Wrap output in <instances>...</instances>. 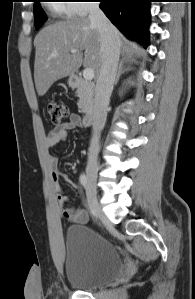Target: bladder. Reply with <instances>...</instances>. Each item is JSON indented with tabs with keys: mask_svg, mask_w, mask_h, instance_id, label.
<instances>
[{
	"mask_svg": "<svg viewBox=\"0 0 195 299\" xmlns=\"http://www.w3.org/2000/svg\"><path fill=\"white\" fill-rule=\"evenodd\" d=\"M64 247L66 279L80 290L111 282L124 268L115 246L86 226H70Z\"/></svg>",
	"mask_w": 195,
	"mask_h": 299,
	"instance_id": "bladder-1",
	"label": "bladder"
}]
</instances>
